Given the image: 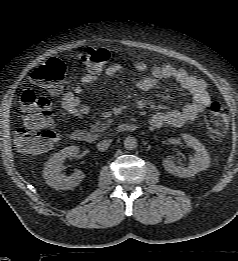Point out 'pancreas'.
<instances>
[{
	"label": "pancreas",
	"mask_w": 238,
	"mask_h": 261,
	"mask_svg": "<svg viewBox=\"0 0 238 261\" xmlns=\"http://www.w3.org/2000/svg\"><path fill=\"white\" fill-rule=\"evenodd\" d=\"M111 125V120H107L106 123L96 122L91 125L90 131L94 133L104 132Z\"/></svg>",
	"instance_id": "obj_1"
}]
</instances>
